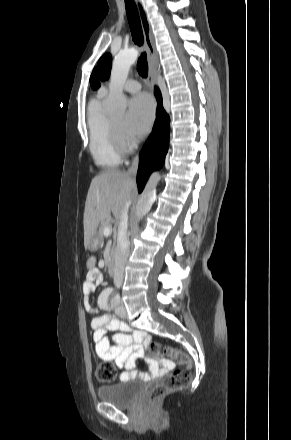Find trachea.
Returning <instances> with one entry per match:
<instances>
[{
	"instance_id": "3493384b",
	"label": "trachea",
	"mask_w": 291,
	"mask_h": 440,
	"mask_svg": "<svg viewBox=\"0 0 291 440\" xmlns=\"http://www.w3.org/2000/svg\"><path fill=\"white\" fill-rule=\"evenodd\" d=\"M125 5L133 41L141 46L143 44V33L136 4L132 0H125ZM137 71L144 78L148 76V63L145 52L138 59Z\"/></svg>"
}]
</instances>
